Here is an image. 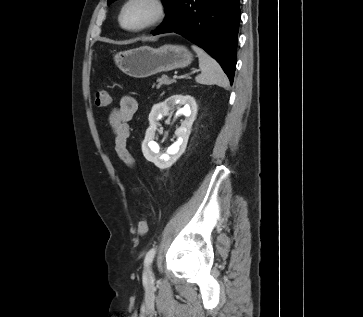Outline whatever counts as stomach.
Here are the masks:
<instances>
[{"label":"stomach","mask_w":363,"mask_h":317,"mask_svg":"<svg viewBox=\"0 0 363 317\" xmlns=\"http://www.w3.org/2000/svg\"><path fill=\"white\" fill-rule=\"evenodd\" d=\"M117 67L135 78L184 68L191 64L192 54L181 45L166 44L159 48L141 46L121 51L114 57Z\"/></svg>","instance_id":"stomach-1"}]
</instances>
